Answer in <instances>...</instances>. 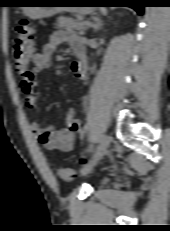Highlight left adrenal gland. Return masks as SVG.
I'll list each match as a JSON object with an SVG mask.
<instances>
[{"label": "left adrenal gland", "mask_w": 170, "mask_h": 231, "mask_svg": "<svg viewBox=\"0 0 170 231\" xmlns=\"http://www.w3.org/2000/svg\"><path fill=\"white\" fill-rule=\"evenodd\" d=\"M102 26H103L102 21L98 20L94 25V31L96 32V31L100 30L102 28Z\"/></svg>", "instance_id": "left-adrenal-gland-1"}]
</instances>
